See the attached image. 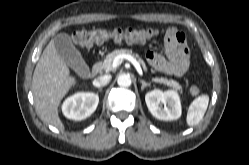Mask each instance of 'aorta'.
Returning <instances> with one entry per match:
<instances>
[{
	"label": "aorta",
	"instance_id": "aorta-1",
	"mask_svg": "<svg viewBox=\"0 0 249 165\" xmlns=\"http://www.w3.org/2000/svg\"><path fill=\"white\" fill-rule=\"evenodd\" d=\"M117 83L121 87H129L132 83L131 78L127 74H121L117 78Z\"/></svg>",
	"mask_w": 249,
	"mask_h": 165
}]
</instances>
